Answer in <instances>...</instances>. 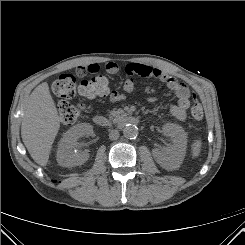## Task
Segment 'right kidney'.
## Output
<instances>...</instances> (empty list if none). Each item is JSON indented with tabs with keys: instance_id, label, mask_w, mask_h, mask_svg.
I'll list each match as a JSON object with an SVG mask.
<instances>
[{
	"instance_id": "1",
	"label": "right kidney",
	"mask_w": 245,
	"mask_h": 245,
	"mask_svg": "<svg viewBox=\"0 0 245 245\" xmlns=\"http://www.w3.org/2000/svg\"><path fill=\"white\" fill-rule=\"evenodd\" d=\"M93 133V127L88 123H81L71 127L61 138L57 151V162L63 167H74L84 164L89 154L87 152H75L79 138Z\"/></svg>"
}]
</instances>
